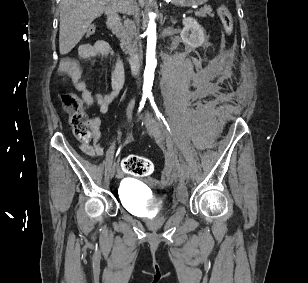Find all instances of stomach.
Segmentation results:
<instances>
[{
	"mask_svg": "<svg viewBox=\"0 0 308 283\" xmlns=\"http://www.w3.org/2000/svg\"><path fill=\"white\" fill-rule=\"evenodd\" d=\"M208 0H171L174 5L182 6V7H190L193 5H202L206 3Z\"/></svg>",
	"mask_w": 308,
	"mask_h": 283,
	"instance_id": "0dacf381",
	"label": "stomach"
}]
</instances>
